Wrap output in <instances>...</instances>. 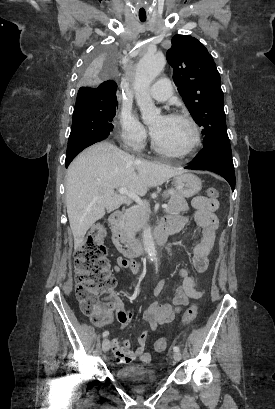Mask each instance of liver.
<instances>
[{
    "label": "liver",
    "mask_w": 275,
    "mask_h": 409,
    "mask_svg": "<svg viewBox=\"0 0 275 409\" xmlns=\"http://www.w3.org/2000/svg\"><path fill=\"white\" fill-rule=\"evenodd\" d=\"M183 172L187 170L136 158L107 140L82 150L66 174V207L75 251L93 223L128 202L126 194H115L114 188H128L144 196L150 186Z\"/></svg>",
    "instance_id": "liver-1"
}]
</instances>
